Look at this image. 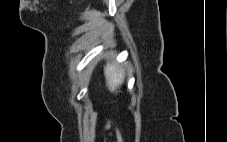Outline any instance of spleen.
<instances>
[{
    "label": "spleen",
    "mask_w": 227,
    "mask_h": 142,
    "mask_svg": "<svg viewBox=\"0 0 227 142\" xmlns=\"http://www.w3.org/2000/svg\"><path fill=\"white\" fill-rule=\"evenodd\" d=\"M104 75L106 78V86L110 92H117L125 78V71L120 66H116L110 62L104 67Z\"/></svg>",
    "instance_id": "spleen-1"
}]
</instances>
